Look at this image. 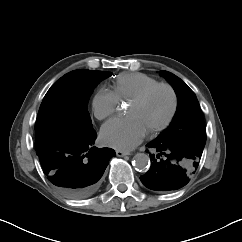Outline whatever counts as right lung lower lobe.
Masks as SVG:
<instances>
[{"label":"right lung lower lobe","instance_id":"right-lung-lower-lobe-1","mask_svg":"<svg viewBox=\"0 0 242 242\" xmlns=\"http://www.w3.org/2000/svg\"><path fill=\"white\" fill-rule=\"evenodd\" d=\"M95 139L94 129L54 130L36 139V154L43 171L62 194L84 199L98 191L101 177L115 152L93 146Z\"/></svg>","mask_w":242,"mask_h":242}]
</instances>
